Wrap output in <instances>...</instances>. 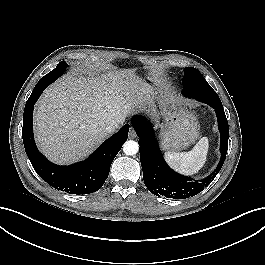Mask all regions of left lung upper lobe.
Listing matches in <instances>:
<instances>
[{
	"label": "left lung upper lobe",
	"mask_w": 265,
	"mask_h": 265,
	"mask_svg": "<svg viewBox=\"0 0 265 265\" xmlns=\"http://www.w3.org/2000/svg\"><path fill=\"white\" fill-rule=\"evenodd\" d=\"M182 84L184 86L183 92H186L187 88L192 86L209 85L202 74L194 67H186L184 69Z\"/></svg>",
	"instance_id": "obj_1"
}]
</instances>
